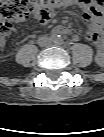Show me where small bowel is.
Wrapping results in <instances>:
<instances>
[{
	"mask_svg": "<svg viewBox=\"0 0 104 137\" xmlns=\"http://www.w3.org/2000/svg\"><path fill=\"white\" fill-rule=\"evenodd\" d=\"M78 4L82 8V18L87 23V29L83 32V37L96 46L95 57L97 62L101 63L103 61V42L101 38L103 16L101 9L94 3V0H79ZM69 32L70 30L66 26L59 25L54 28L56 34H68ZM6 40L7 35L0 36L2 46L6 44Z\"/></svg>",
	"mask_w": 104,
	"mask_h": 137,
	"instance_id": "1",
	"label": "small bowel"
}]
</instances>
